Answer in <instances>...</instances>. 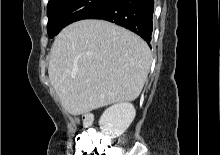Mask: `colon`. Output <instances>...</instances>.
Returning a JSON list of instances; mask_svg holds the SVG:
<instances>
[{"mask_svg": "<svg viewBox=\"0 0 220 155\" xmlns=\"http://www.w3.org/2000/svg\"><path fill=\"white\" fill-rule=\"evenodd\" d=\"M77 155H111L113 146L96 135L86 134L77 138Z\"/></svg>", "mask_w": 220, "mask_h": 155, "instance_id": "obj_1", "label": "colon"}]
</instances>
